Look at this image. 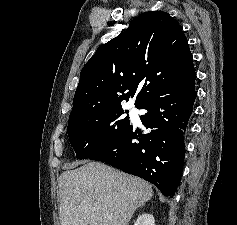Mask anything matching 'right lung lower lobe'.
<instances>
[{
  "label": "right lung lower lobe",
  "mask_w": 237,
  "mask_h": 225,
  "mask_svg": "<svg viewBox=\"0 0 237 225\" xmlns=\"http://www.w3.org/2000/svg\"><path fill=\"white\" fill-rule=\"evenodd\" d=\"M196 96L195 83L185 87L163 86L138 107L147 110L141 121L150 129L148 134L142 135L130 125L108 147L88 158L139 176L172 198L181 179L184 133Z\"/></svg>",
  "instance_id": "obj_1"
}]
</instances>
